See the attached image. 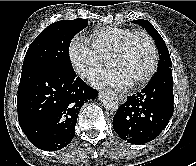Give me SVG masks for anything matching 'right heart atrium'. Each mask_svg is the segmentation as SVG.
<instances>
[{
	"instance_id": "right-heart-atrium-1",
	"label": "right heart atrium",
	"mask_w": 196,
	"mask_h": 166,
	"mask_svg": "<svg viewBox=\"0 0 196 166\" xmlns=\"http://www.w3.org/2000/svg\"><path fill=\"white\" fill-rule=\"evenodd\" d=\"M69 58L76 72L84 78L91 76L109 64V59L104 57L89 39L80 36L72 39Z\"/></svg>"
}]
</instances>
